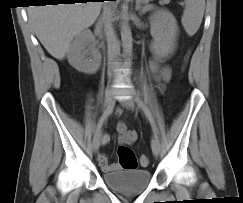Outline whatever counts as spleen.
I'll return each instance as SVG.
<instances>
[{
  "instance_id": "1",
  "label": "spleen",
  "mask_w": 243,
  "mask_h": 203,
  "mask_svg": "<svg viewBox=\"0 0 243 203\" xmlns=\"http://www.w3.org/2000/svg\"><path fill=\"white\" fill-rule=\"evenodd\" d=\"M205 11V0H185V11L181 22L189 36L199 29Z\"/></svg>"
}]
</instances>
